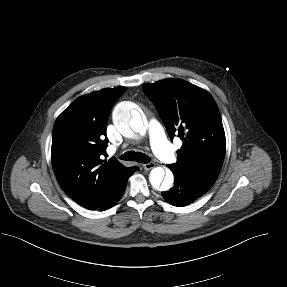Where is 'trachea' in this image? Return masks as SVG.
<instances>
[{
	"instance_id": "obj_1",
	"label": "trachea",
	"mask_w": 287,
	"mask_h": 287,
	"mask_svg": "<svg viewBox=\"0 0 287 287\" xmlns=\"http://www.w3.org/2000/svg\"><path fill=\"white\" fill-rule=\"evenodd\" d=\"M120 159L125 160V161H136L138 163H149L150 162V158L148 155L141 153V152H135V151H128L124 153Z\"/></svg>"
}]
</instances>
